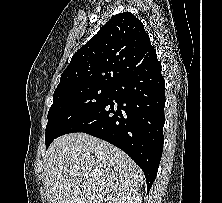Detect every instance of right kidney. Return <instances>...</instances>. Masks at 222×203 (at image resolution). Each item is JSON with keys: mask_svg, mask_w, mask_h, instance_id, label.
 <instances>
[{"mask_svg": "<svg viewBox=\"0 0 222 203\" xmlns=\"http://www.w3.org/2000/svg\"><path fill=\"white\" fill-rule=\"evenodd\" d=\"M141 194L138 192H130L120 197L115 203H141Z\"/></svg>", "mask_w": 222, "mask_h": 203, "instance_id": "ca27d5eb", "label": "right kidney"}]
</instances>
